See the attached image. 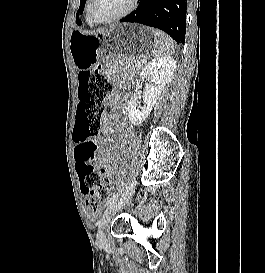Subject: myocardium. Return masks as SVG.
Masks as SVG:
<instances>
[{
	"mask_svg": "<svg viewBox=\"0 0 265 273\" xmlns=\"http://www.w3.org/2000/svg\"><path fill=\"white\" fill-rule=\"evenodd\" d=\"M138 2L139 0H132L130 6L126 10H124L123 12L119 13L118 15L114 17L107 18V19H96L92 16V13H91L93 0H88L86 5V16L90 21H92L95 24H106V23L116 22L127 17L129 14H131L136 9Z\"/></svg>",
	"mask_w": 265,
	"mask_h": 273,
	"instance_id": "obj_1",
	"label": "myocardium"
}]
</instances>
